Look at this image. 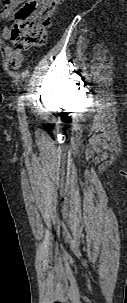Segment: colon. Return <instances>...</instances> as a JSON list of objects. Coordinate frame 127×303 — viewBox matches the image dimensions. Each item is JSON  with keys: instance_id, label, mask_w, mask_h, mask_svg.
Masks as SVG:
<instances>
[{"instance_id": "obj_1", "label": "colon", "mask_w": 127, "mask_h": 303, "mask_svg": "<svg viewBox=\"0 0 127 303\" xmlns=\"http://www.w3.org/2000/svg\"><path fill=\"white\" fill-rule=\"evenodd\" d=\"M14 1L0 0V3L10 6ZM61 2L62 0H26L12 18L10 38L14 47L21 50L43 45L51 18Z\"/></svg>"}]
</instances>
